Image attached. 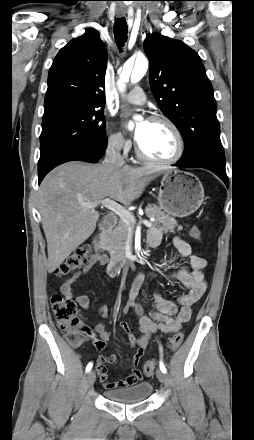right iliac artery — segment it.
Segmentation results:
<instances>
[{
  "label": "right iliac artery",
  "mask_w": 254,
  "mask_h": 440,
  "mask_svg": "<svg viewBox=\"0 0 254 440\" xmlns=\"http://www.w3.org/2000/svg\"><path fill=\"white\" fill-rule=\"evenodd\" d=\"M92 367H93V363L92 362L88 363L86 367V372H89L92 369Z\"/></svg>",
  "instance_id": "1"
}]
</instances>
